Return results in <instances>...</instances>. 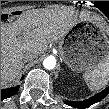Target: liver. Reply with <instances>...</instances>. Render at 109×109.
<instances>
[{"instance_id": "obj_1", "label": "liver", "mask_w": 109, "mask_h": 109, "mask_svg": "<svg viewBox=\"0 0 109 109\" xmlns=\"http://www.w3.org/2000/svg\"><path fill=\"white\" fill-rule=\"evenodd\" d=\"M80 20L88 16L73 10L33 9L23 12L16 21L1 27V83L9 86L21 74L22 54L35 57L49 44L62 39Z\"/></svg>"}]
</instances>
